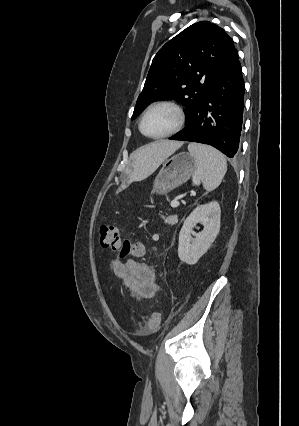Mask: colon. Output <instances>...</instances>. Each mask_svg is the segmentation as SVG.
Segmentation results:
<instances>
[{
    "label": "colon",
    "instance_id": "colon-1",
    "mask_svg": "<svg viewBox=\"0 0 299 426\" xmlns=\"http://www.w3.org/2000/svg\"><path fill=\"white\" fill-rule=\"evenodd\" d=\"M99 244L104 251H119L121 257H141L145 249L141 244H133L128 239H123L119 229L112 224H103L99 231ZM160 324V315L152 312L143 326L146 334L154 333Z\"/></svg>",
    "mask_w": 299,
    "mask_h": 426
}]
</instances>
